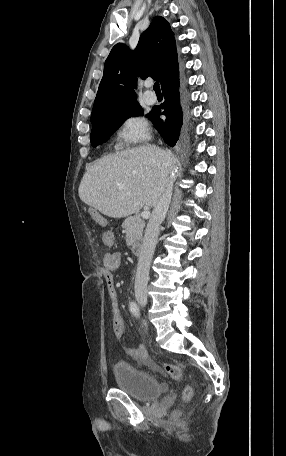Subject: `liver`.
Here are the masks:
<instances>
[{
    "mask_svg": "<svg viewBox=\"0 0 286 456\" xmlns=\"http://www.w3.org/2000/svg\"><path fill=\"white\" fill-rule=\"evenodd\" d=\"M175 158L153 145L136 147L96 160L84 174L80 199L102 214L121 218L143 206L154 207L161 185L169 180Z\"/></svg>",
    "mask_w": 286,
    "mask_h": 456,
    "instance_id": "obj_1",
    "label": "liver"
}]
</instances>
